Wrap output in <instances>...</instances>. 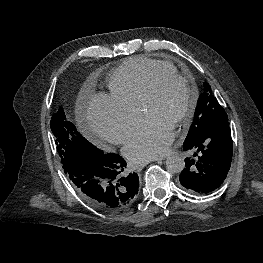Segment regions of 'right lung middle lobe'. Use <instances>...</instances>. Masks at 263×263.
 Returning <instances> with one entry per match:
<instances>
[{"label":"right lung middle lobe","mask_w":263,"mask_h":263,"mask_svg":"<svg viewBox=\"0 0 263 263\" xmlns=\"http://www.w3.org/2000/svg\"><path fill=\"white\" fill-rule=\"evenodd\" d=\"M50 127L65 172L70 168L73 160L81 155L100 156L104 154L103 151L87 141L76 130L73 123L66 120L62 107L53 115Z\"/></svg>","instance_id":"dd1d6c3e"}]
</instances>
